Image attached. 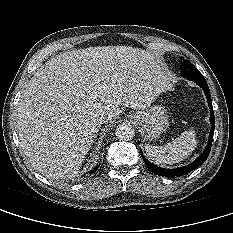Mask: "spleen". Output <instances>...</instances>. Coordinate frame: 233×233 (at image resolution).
Masks as SVG:
<instances>
[{
	"mask_svg": "<svg viewBox=\"0 0 233 233\" xmlns=\"http://www.w3.org/2000/svg\"><path fill=\"white\" fill-rule=\"evenodd\" d=\"M195 130L184 131L165 146H144L149 160L157 165H171L186 159L197 147Z\"/></svg>",
	"mask_w": 233,
	"mask_h": 233,
	"instance_id": "obj_1",
	"label": "spleen"
}]
</instances>
